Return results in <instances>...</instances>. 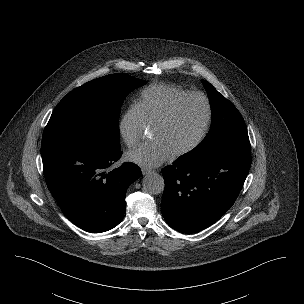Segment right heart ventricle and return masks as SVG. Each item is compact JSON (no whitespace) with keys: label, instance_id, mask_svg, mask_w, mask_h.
I'll return each instance as SVG.
<instances>
[{"label":"right heart ventricle","instance_id":"obj_1","mask_svg":"<svg viewBox=\"0 0 304 304\" xmlns=\"http://www.w3.org/2000/svg\"><path fill=\"white\" fill-rule=\"evenodd\" d=\"M188 90L171 84H152L144 88L135 104L138 106L148 127H152L167 108Z\"/></svg>","mask_w":304,"mask_h":304}]
</instances>
